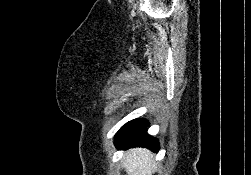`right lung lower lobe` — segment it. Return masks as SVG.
<instances>
[{"label":"right lung lower lobe","mask_w":251,"mask_h":175,"mask_svg":"<svg viewBox=\"0 0 251 175\" xmlns=\"http://www.w3.org/2000/svg\"><path fill=\"white\" fill-rule=\"evenodd\" d=\"M149 123L144 119H135L123 125L115 135V145L119 149L146 147L158 151L159 142L147 133Z\"/></svg>","instance_id":"98d812e1"}]
</instances>
